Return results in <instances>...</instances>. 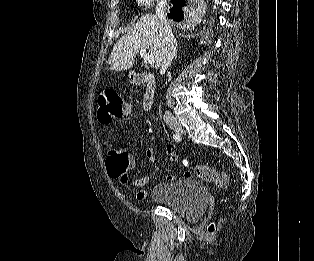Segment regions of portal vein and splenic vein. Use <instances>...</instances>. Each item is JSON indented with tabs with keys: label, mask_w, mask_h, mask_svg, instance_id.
Masks as SVG:
<instances>
[{
	"label": "portal vein and splenic vein",
	"mask_w": 314,
	"mask_h": 261,
	"mask_svg": "<svg viewBox=\"0 0 314 261\" xmlns=\"http://www.w3.org/2000/svg\"><path fill=\"white\" fill-rule=\"evenodd\" d=\"M140 56L149 65H153L154 64V56L152 54L147 53L146 49H144V48L140 49Z\"/></svg>",
	"instance_id": "portal-vein-and-splenic-vein-1"
}]
</instances>
